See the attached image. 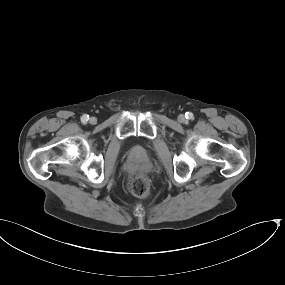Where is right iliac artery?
I'll use <instances>...</instances> for the list:
<instances>
[{
    "label": "right iliac artery",
    "instance_id": "right-iliac-artery-1",
    "mask_svg": "<svg viewBox=\"0 0 285 285\" xmlns=\"http://www.w3.org/2000/svg\"><path fill=\"white\" fill-rule=\"evenodd\" d=\"M88 119H89V116H88L87 114H84V115L81 117V122L85 124V123L88 121Z\"/></svg>",
    "mask_w": 285,
    "mask_h": 285
}]
</instances>
